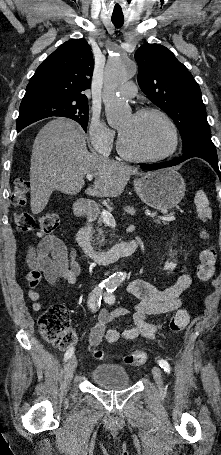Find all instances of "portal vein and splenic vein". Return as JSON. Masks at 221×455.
Masks as SVG:
<instances>
[{"label":"portal vein and splenic vein","mask_w":221,"mask_h":455,"mask_svg":"<svg viewBox=\"0 0 221 455\" xmlns=\"http://www.w3.org/2000/svg\"><path fill=\"white\" fill-rule=\"evenodd\" d=\"M93 177H94V175H92V174H87L86 175V178L89 181H91L93 179ZM101 216L103 218V221L107 225H109L111 227H115L116 226V221H115L114 217L112 216V214L109 211L103 209L102 212H101ZM151 217H154V216L151 215ZM159 220H162V221H165V222L173 221V220H175L174 213L170 214V215H167L165 217H158V220L156 222H159Z\"/></svg>","instance_id":"obj_1"}]
</instances>
